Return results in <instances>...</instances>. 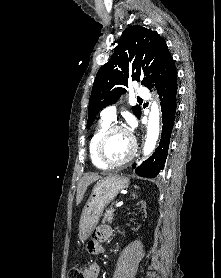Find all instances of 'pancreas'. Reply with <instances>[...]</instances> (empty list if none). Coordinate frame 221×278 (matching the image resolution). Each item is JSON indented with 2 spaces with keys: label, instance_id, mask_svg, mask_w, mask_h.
Listing matches in <instances>:
<instances>
[{
  "label": "pancreas",
  "instance_id": "obj_1",
  "mask_svg": "<svg viewBox=\"0 0 221 278\" xmlns=\"http://www.w3.org/2000/svg\"><path fill=\"white\" fill-rule=\"evenodd\" d=\"M113 220V209L110 208L108 210H106L102 222H108V223H112Z\"/></svg>",
  "mask_w": 221,
  "mask_h": 278
}]
</instances>
